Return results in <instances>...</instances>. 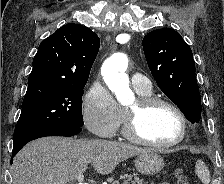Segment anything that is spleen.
Segmentation results:
<instances>
[{
  "label": "spleen",
  "mask_w": 224,
  "mask_h": 184,
  "mask_svg": "<svg viewBox=\"0 0 224 184\" xmlns=\"http://www.w3.org/2000/svg\"><path fill=\"white\" fill-rule=\"evenodd\" d=\"M195 173L197 174V176L199 177L200 181L203 184L210 183L211 178H210L209 169L202 160L196 161Z\"/></svg>",
  "instance_id": "obj_1"
}]
</instances>
